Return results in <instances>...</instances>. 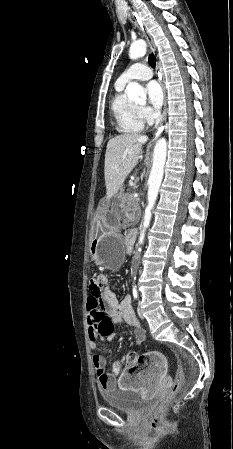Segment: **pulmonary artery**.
<instances>
[{
	"label": "pulmonary artery",
	"instance_id": "1",
	"mask_svg": "<svg viewBox=\"0 0 233 449\" xmlns=\"http://www.w3.org/2000/svg\"><path fill=\"white\" fill-rule=\"evenodd\" d=\"M152 76L153 72L149 66L136 62L119 76L117 82L119 84H127L134 80L145 81L152 78Z\"/></svg>",
	"mask_w": 233,
	"mask_h": 449
}]
</instances>
